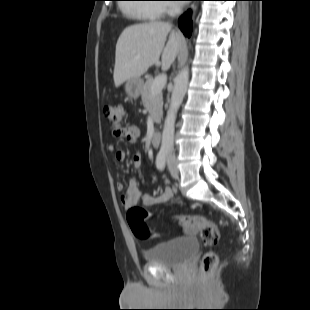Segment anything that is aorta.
<instances>
[{"label": "aorta", "instance_id": "762f6f07", "mask_svg": "<svg viewBox=\"0 0 310 310\" xmlns=\"http://www.w3.org/2000/svg\"><path fill=\"white\" fill-rule=\"evenodd\" d=\"M189 81V67L185 66L175 78L174 88L171 95L170 106L164 123L162 132L161 148L172 149L174 144V131L177 111L183 101L187 91Z\"/></svg>", "mask_w": 310, "mask_h": 310}]
</instances>
